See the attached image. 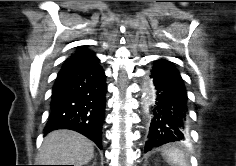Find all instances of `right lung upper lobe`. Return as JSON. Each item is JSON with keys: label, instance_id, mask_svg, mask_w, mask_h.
Segmentation results:
<instances>
[{"label": "right lung upper lobe", "instance_id": "1", "mask_svg": "<svg viewBox=\"0 0 236 166\" xmlns=\"http://www.w3.org/2000/svg\"><path fill=\"white\" fill-rule=\"evenodd\" d=\"M95 54L85 47L77 48L70 58H68L63 66L83 65L97 60Z\"/></svg>", "mask_w": 236, "mask_h": 166}]
</instances>
